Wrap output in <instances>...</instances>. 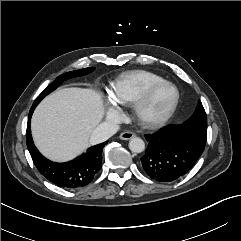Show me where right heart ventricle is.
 Listing matches in <instances>:
<instances>
[{"mask_svg":"<svg viewBox=\"0 0 241 241\" xmlns=\"http://www.w3.org/2000/svg\"><path fill=\"white\" fill-rule=\"evenodd\" d=\"M163 80L160 75L146 70L123 73L113 84L111 98L117 105H133L148 88Z\"/></svg>","mask_w":241,"mask_h":241,"instance_id":"right-heart-ventricle-1","label":"right heart ventricle"}]
</instances>
